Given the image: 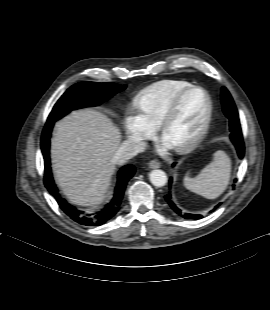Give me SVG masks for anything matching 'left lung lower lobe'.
<instances>
[{
	"instance_id": "left-lung-lower-lobe-1",
	"label": "left lung lower lobe",
	"mask_w": 270,
	"mask_h": 310,
	"mask_svg": "<svg viewBox=\"0 0 270 310\" xmlns=\"http://www.w3.org/2000/svg\"><path fill=\"white\" fill-rule=\"evenodd\" d=\"M234 146L237 149V153L239 155V157L242 159L244 156V143H243V139H234L232 140ZM172 185V178H170L169 180V186L171 187ZM166 202L170 205V207L180 216L186 218V219H200L202 218L201 215H197V214H189V213H185L183 214L181 212V210L174 204V202L172 201V196L170 194V192L168 194H166L164 196ZM219 205H217L216 207H218Z\"/></svg>"
}]
</instances>
